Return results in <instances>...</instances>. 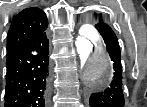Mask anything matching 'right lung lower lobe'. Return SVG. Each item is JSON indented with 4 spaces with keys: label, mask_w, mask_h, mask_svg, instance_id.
Masks as SVG:
<instances>
[{
    "label": "right lung lower lobe",
    "mask_w": 147,
    "mask_h": 107,
    "mask_svg": "<svg viewBox=\"0 0 147 107\" xmlns=\"http://www.w3.org/2000/svg\"><path fill=\"white\" fill-rule=\"evenodd\" d=\"M45 32L7 52L5 107H45L49 90Z\"/></svg>",
    "instance_id": "98d812e1"
}]
</instances>
